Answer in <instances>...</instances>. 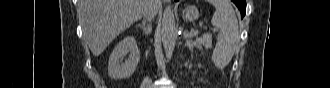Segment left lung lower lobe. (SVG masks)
<instances>
[{
  "label": "left lung lower lobe",
  "instance_id": "1",
  "mask_svg": "<svg viewBox=\"0 0 330 88\" xmlns=\"http://www.w3.org/2000/svg\"><path fill=\"white\" fill-rule=\"evenodd\" d=\"M178 1V0H175ZM236 4V6L239 8L241 12V17L243 18L246 13V1L245 0H232Z\"/></svg>",
  "mask_w": 330,
  "mask_h": 88
}]
</instances>
